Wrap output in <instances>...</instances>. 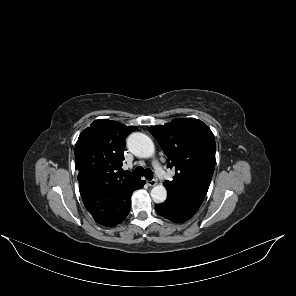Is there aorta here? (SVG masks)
Listing matches in <instances>:
<instances>
[{
    "instance_id": "1",
    "label": "aorta",
    "mask_w": 296,
    "mask_h": 296,
    "mask_svg": "<svg viewBox=\"0 0 296 296\" xmlns=\"http://www.w3.org/2000/svg\"><path fill=\"white\" fill-rule=\"evenodd\" d=\"M129 150L138 157L150 158L155 153L154 143L150 137L141 132L132 133L127 139ZM151 198L155 203H163L167 198V190L162 185H156L151 190Z\"/></svg>"
}]
</instances>
